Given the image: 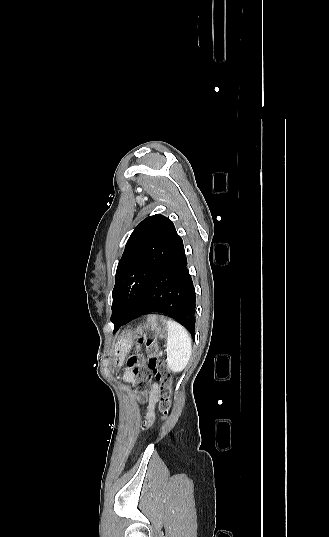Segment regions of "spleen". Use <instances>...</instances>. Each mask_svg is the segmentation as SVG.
<instances>
[{"label": "spleen", "instance_id": "spleen-1", "mask_svg": "<svg viewBox=\"0 0 329 537\" xmlns=\"http://www.w3.org/2000/svg\"><path fill=\"white\" fill-rule=\"evenodd\" d=\"M167 363L173 372L182 371L191 356L192 342L189 333L178 322L168 320Z\"/></svg>", "mask_w": 329, "mask_h": 537}]
</instances>
